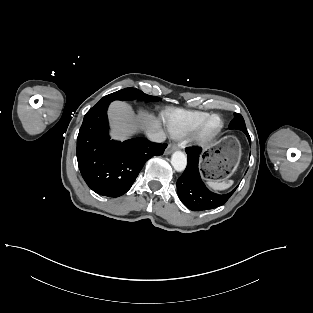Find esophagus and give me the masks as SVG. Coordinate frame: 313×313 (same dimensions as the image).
<instances>
[{"mask_svg":"<svg viewBox=\"0 0 313 313\" xmlns=\"http://www.w3.org/2000/svg\"><path fill=\"white\" fill-rule=\"evenodd\" d=\"M178 148L177 144H169L167 149L165 150V154L169 155L171 154L174 150Z\"/></svg>","mask_w":313,"mask_h":313,"instance_id":"1","label":"esophagus"}]
</instances>
